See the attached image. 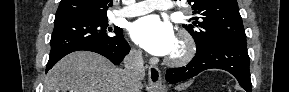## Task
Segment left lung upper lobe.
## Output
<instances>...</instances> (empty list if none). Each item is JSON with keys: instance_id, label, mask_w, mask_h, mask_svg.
<instances>
[{"instance_id": "1", "label": "left lung upper lobe", "mask_w": 289, "mask_h": 92, "mask_svg": "<svg viewBox=\"0 0 289 92\" xmlns=\"http://www.w3.org/2000/svg\"><path fill=\"white\" fill-rule=\"evenodd\" d=\"M193 2L192 24L183 27L195 40L198 52L225 40H246L242 18L236 0H188Z\"/></svg>"}]
</instances>
